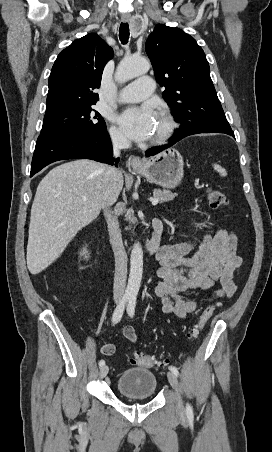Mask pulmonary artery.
Instances as JSON below:
<instances>
[{"mask_svg":"<svg viewBox=\"0 0 272 452\" xmlns=\"http://www.w3.org/2000/svg\"><path fill=\"white\" fill-rule=\"evenodd\" d=\"M153 91V80L148 76L141 77L124 87L116 99L121 103L140 102L150 97Z\"/></svg>","mask_w":272,"mask_h":452,"instance_id":"pulmonary-artery-1","label":"pulmonary artery"}]
</instances>
